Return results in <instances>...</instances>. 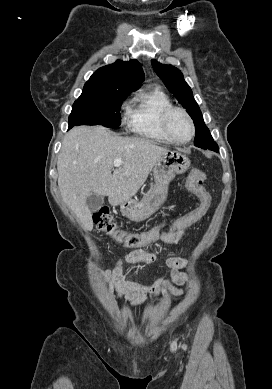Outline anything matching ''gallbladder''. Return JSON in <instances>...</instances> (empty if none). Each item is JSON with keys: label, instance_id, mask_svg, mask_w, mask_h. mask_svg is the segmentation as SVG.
<instances>
[{"label": "gallbladder", "instance_id": "bac80fb5", "mask_svg": "<svg viewBox=\"0 0 272 389\" xmlns=\"http://www.w3.org/2000/svg\"><path fill=\"white\" fill-rule=\"evenodd\" d=\"M86 203H87L89 210L92 213L97 212L102 207V205L104 203V196L96 195V194L91 192L87 196Z\"/></svg>", "mask_w": 272, "mask_h": 389}]
</instances>
